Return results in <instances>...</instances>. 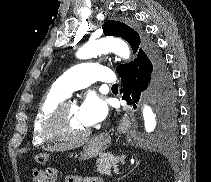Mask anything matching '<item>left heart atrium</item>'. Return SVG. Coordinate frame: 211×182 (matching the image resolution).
<instances>
[{
	"instance_id": "39dd6f15",
	"label": "left heart atrium",
	"mask_w": 211,
	"mask_h": 182,
	"mask_svg": "<svg viewBox=\"0 0 211 182\" xmlns=\"http://www.w3.org/2000/svg\"><path fill=\"white\" fill-rule=\"evenodd\" d=\"M106 114L107 104L105 99L94 93L88 94L78 108L81 121L88 127L102 121Z\"/></svg>"
}]
</instances>
